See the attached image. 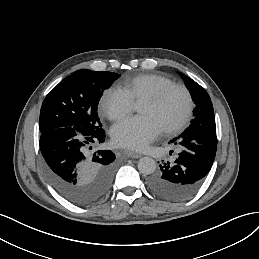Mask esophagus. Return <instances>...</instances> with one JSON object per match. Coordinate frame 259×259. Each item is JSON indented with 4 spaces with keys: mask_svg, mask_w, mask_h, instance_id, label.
<instances>
[{
    "mask_svg": "<svg viewBox=\"0 0 259 259\" xmlns=\"http://www.w3.org/2000/svg\"><path fill=\"white\" fill-rule=\"evenodd\" d=\"M126 156L129 158H140L141 155L132 151H126Z\"/></svg>",
    "mask_w": 259,
    "mask_h": 259,
    "instance_id": "1",
    "label": "esophagus"
}]
</instances>
